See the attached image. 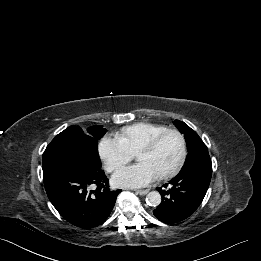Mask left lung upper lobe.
Instances as JSON below:
<instances>
[{
  "label": "left lung upper lobe",
  "mask_w": 261,
  "mask_h": 261,
  "mask_svg": "<svg viewBox=\"0 0 261 261\" xmlns=\"http://www.w3.org/2000/svg\"><path fill=\"white\" fill-rule=\"evenodd\" d=\"M174 123L181 131V133L184 134V138L187 144L188 155L182 168L184 169L191 165L196 157L205 152H208V149L203 141L200 139V137L197 135V133L192 130L187 124L178 120H175Z\"/></svg>",
  "instance_id": "1"
}]
</instances>
